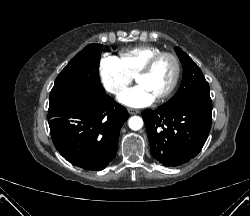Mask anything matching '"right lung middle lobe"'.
<instances>
[{"instance_id": "dd1d6c3e", "label": "right lung middle lobe", "mask_w": 250, "mask_h": 216, "mask_svg": "<svg viewBox=\"0 0 250 216\" xmlns=\"http://www.w3.org/2000/svg\"><path fill=\"white\" fill-rule=\"evenodd\" d=\"M102 45L90 44L60 72L50 93V104L76 91L105 93L99 78Z\"/></svg>"}]
</instances>
